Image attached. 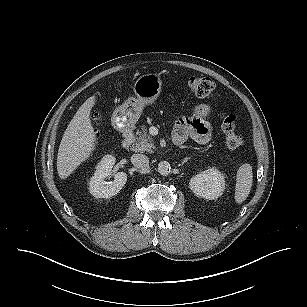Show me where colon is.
I'll return each mask as SVG.
<instances>
[{
	"mask_svg": "<svg viewBox=\"0 0 307 307\" xmlns=\"http://www.w3.org/2000/svg\"><path fill=\"white\" fill-rule=\"evenodd\" d=\"M187 86L193 95L199 98L213 99L217 94V87L214 81L208 77L192 76L187 81ZM221 131L225 136L227 146L232 150L243 147L245 140L236 131L235 116L232 113L224 112L220 116Z\"/></svg>",
	"mask_w": 307,
	"mask_h": 307,
	"instance_id": "1",
	"label": "colon"
}]
</instances>
